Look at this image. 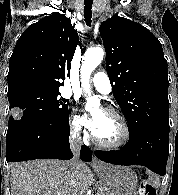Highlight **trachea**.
<instances>
[{
	"label": "trachea",
	"instance_id": "obj_1",
	"mask_svg": "<svg viewBox=\"0 0 178 195\" xmlns=\"http://www.w3.org/2000/svg\"><path fill=\"white\" fill-rule=\"evenodd\" d=\"M84 18L87 26H91L93 0H84Z\"/></svg>",
	"mask_w": 178,
	"mask_h": 195
}]
</instances>
